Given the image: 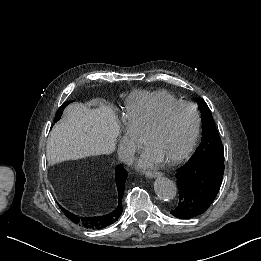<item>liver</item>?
<instances>
[{
    "label": "liver",
    "mask_w": 261,
    "mask_h": 261,
    "mask_svg": "<svg viewBox=\"0 0 261 261\" xmlns=\"http://www.w3.org/2000/svg\"><path fill=\"white\" fill-rule=\"evenodd\" d=\"M119 131L118 115L111 106L98 99L88 105L75 102L66 107L64 118L50 132L47 152L78 158L109 154Z\"/></svg>",
    "instance_id": "6515ba94"
}]
</instances>
